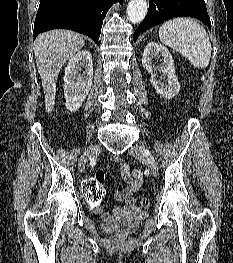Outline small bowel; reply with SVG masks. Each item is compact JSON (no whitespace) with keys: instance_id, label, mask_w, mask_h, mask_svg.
I'll list each match as a JSON object with an SVG mask.
<instances>
[{"instance_id":"obj_1","label":"small bowel","mask_w":233,"mask_h":263,"mask_svg":"<svg viewBox=\"0 0 233 263\" xmlns=\"http://www.w3.org/2000/svg\"><path fill=\"white\" fill-rule=\"evenodd\" d=\"M113 162L118 165L121 178L125 184L122 190L116 191L114 193L115 200L118 202L124 203V205L116 209V212H120L134 204L133 195L135 192L139 190V188L142 185L143 173L139 169L131 170L129 165L120 157H114ZM105 175H106V172H105ZM92 209L98 215H101V216L105 215L101 204L95 205V208H92Z\"/></svg>"}]
</instances>
